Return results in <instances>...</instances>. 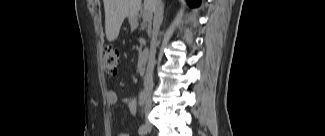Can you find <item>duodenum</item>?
<instances>
[{"label":"duodenum","mask_w":325,"mask_h":136,"mask_svg":"<svg viewBox=\"0 0 325 136\" xmlns=\"http://www.w3.org/2000/svg\"><path fill=\"white\" fill-rule=\"evenodd\" d=\"M148 64V50H146L137 64V71L143 73Z\"/></svg>","instance_id":"1"}]
</instances>
